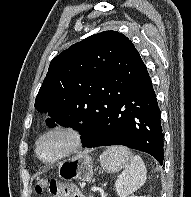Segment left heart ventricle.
I'll use <instances>...</instances> for the list:
<instances>
[{"label":"left heart ventricle","mask_w":191,"mask_h":197,"mask_svg":"<svg viewBox=\"0 0 191 197\" xmlns=\"http://www.w3.org/2000/svg\"><path fill=\"white\" fill-rule=\"evenodd\" d=\"M67 146V139L63 135L54 134L41 142L40 154L44 159H53L64 152Z\"/></svg>","instance_id":"b2bd125f"}]
</instances>
